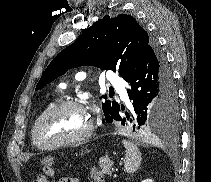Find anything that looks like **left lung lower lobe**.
<instances>
[{"instance_id":"left-lung-lower-lobe-1","label":"left lung lower lobe","mask_w":211,"mask_h":182,"mask_svg":"<svg viewBox=\"0 0 211 182\" xmlns=\"http://www.w3.org/2000/svg\"><path fill=\"white\" fill-rule=\"evenodd\" d=\"M126 81L130 85L127 92L134 107V118L131 120L134 123L133 130L136 127L138 134L145 138L155 134L153 131L150 134H143L140 130V126L146 123L147 106L150 103L158 106L162 126L167 127L177 123L179 110L176 86L165 54L156 41L152 40L137 68ZM126 115L129 118L127 113ZM117 120L121 121L122 125L126 121L120 115Z\"/></svg>"}]
</instances>
